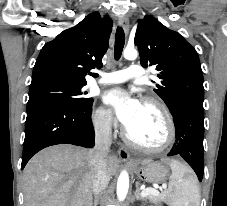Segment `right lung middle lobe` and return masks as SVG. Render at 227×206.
I'll return each instance as SVG.
<instances>
[{"label": "right lung middle lobe", "instance_id": "1", "mask_svg": "<svg viewBox=\"0 0 227 206\" xmlns=\"http://www.w3.org/2000/svg\"><path fill=\"white\" fill-rule=\"evenodd\" d=\"M85 84H75L63 80L46 79L31 83L27 110L44 104L83 108L93 103L85 98Z\"/></svg>", "mask_w": 227, "mask_h": 206}]
</instances>
